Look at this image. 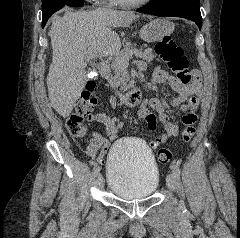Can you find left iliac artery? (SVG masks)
Wrapping results in <instances>:
<instances>
[{
    "label": "left iliac artery",
    "mask_w": 240,
    "mask_h": 238,
    "mask_svg": "<svg viewBox=\"0 0 240 238\" xmlns=\"http://www.w3.org/2000/svg\"><path fill=\"white\" fill-rule=\"evenodd\" d=\"M171 168H172V170H173V172H174V175H175L177 178H179L181 171H180V168H179L178 164L173 163L172 166H171Z\"/></svg>",
    "instance_id": "44dca946"
}]
</instances>
